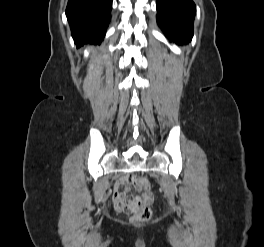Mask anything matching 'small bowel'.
<instances>
[{
  "mask_svg": "<svg viewBox=\"0 0 264 247\" xmlns=\"http://www.w3.org/2000/svg\"><path fill=\"white\" fill-rule=\"evenodd\" d=\"M129 177L124 176L121 180L113 186V200L117 207H119V201L130 193V187L128 186Z\"/></svg>",
  "mask_w": 264,
  "mask_h": 247,
  "instance_id": "c3829d8e",
  "label": "small bowel"
}]
</instances>
